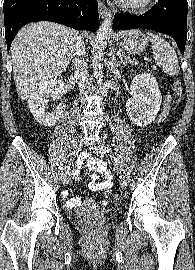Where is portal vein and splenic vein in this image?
<instances>
[{
	"instance_id": "18ae733b",
	"label": "portal vein and splenic vein",
	"mask_w": 195,
	"mask_h": 270,
	"mask_svg": "<svg viewBox=\"0 0 195 270\" xmlns=\"http://www.w3.org/2000/svg\"><path fill=\"white\" fill-rule=\"evenodd\" d=\"M117 56H119V57H121L122 56V53H120V52H117V54H116Z\"/></svg>"
}]
</instances>
